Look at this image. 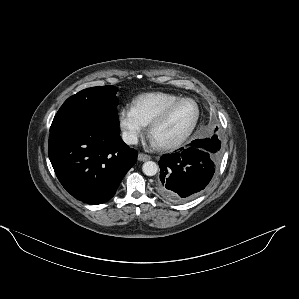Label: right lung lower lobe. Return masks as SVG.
<instances>
[{
	"mask_svg": "<svg viewBox=\"0 0 299 299\" xmlns=\"http://www.w3.org/2000/svg\"><path fill=\"white\" fill-rule=\"evenodd\" d=\"M48 153L63 187L88 204L112 198L137 160L119 126L99 122H74L50 131Z\"/></svg>",
	"mask_w": 299,
	"mask_h": 299,
	"instance_id": "98d812e1",
	"label": "right lung lower lobe"
}]
</instances>
